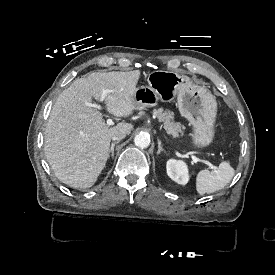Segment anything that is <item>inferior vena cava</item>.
Here are the masks:
<instances>
[{
  "label": "inferior vena cava",
  "mask_w": 275,
  "mask_h": 275,
  "mask_svg": "<svg viewBox=\"0 0 275 275\" xmlns=\"http://www.w3.org/2000/svg\"><path fill=\"white\" fill-rule=\"evenodd\" d=\"M127 134L128 133L125 129H118L114 132V134L112 136V140L113 141H120V140L124 139Z\"/></svg>",
  "instance_id": "obj_1"
}]
</instances>
